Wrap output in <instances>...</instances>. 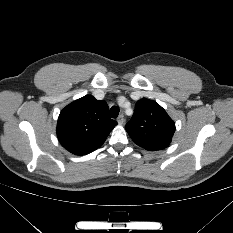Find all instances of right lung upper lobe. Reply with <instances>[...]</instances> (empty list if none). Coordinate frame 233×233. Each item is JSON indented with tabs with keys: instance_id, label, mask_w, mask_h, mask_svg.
Returning <instances> with one entry per match:
<instances>
[{
	"instance_id": "obj_1",
	"label": "right lung upper lobe",
	"mask_w": 233,
	"mask_h": 233,
	"mask_svg": "<svg viewBox=\"0 0 233 233\" xmlns=\"http://www.w3.org/2000/svg\"><path fill=\"white\" fill-rule=\"evenodd\" d=\"M116 125L108 115L107 103L86 95L61 111L57 136L69 152L86 155L99 148Z\"/></svg>"
}]
</instances>
